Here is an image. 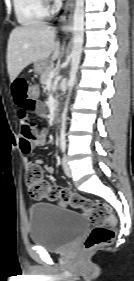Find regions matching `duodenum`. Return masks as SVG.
Returning a JSON list of instances; mask_svg holds the SVG:
<instances>
[{"label":"duodenum","instance_id":"410a0bca","mask_svg":"<svg viewBox=\"0 0 134 281\" xmlns=\"http://www.w3.org/2000/svg\"><path fill=\"white\" fill-rule=\"evenodd\" d=\"M52 116H53V120L56 122L59 117V104L57 102L53 105Z\"/></svg>","mask_w":134,"mask_h":281}]
</instances>
